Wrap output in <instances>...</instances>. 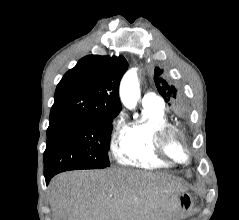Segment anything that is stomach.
Instances as JSON below:
<instances>
[{
	"instance_id": "0dacf381",
	"label": "stomach",
	"mask_w": 239,
	"mask_h": 220,
	"mask_svg": "<svg viewBox=\"0 0 239 220\" xmlns=\"http://www.w3.org/2000/svg\"><path fill=\"white\" fill-rule=\"evenodd\" d=\"M178 206L181 213L189 212L193 207V199L188 193H180L178 195Z\"/></svg>"
}]
</instances>
